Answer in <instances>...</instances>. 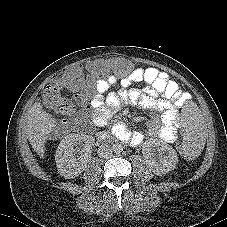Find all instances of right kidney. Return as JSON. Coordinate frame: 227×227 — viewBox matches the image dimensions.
<instances>
[{
    "label": "right kidney",
    "instance_id": "right-kidney-1",
    "mask_svg": "<svg viewBox=\"0 0 227 227\" xmlns=\"http://www.w3.org/2000/svg\"><path fill=\"white\" fill-rule=\"evenodd\" d=\"M94 139L84 134H69L58 145L55 162L58 173L67 179L79 176L91 157ZM80 146H83L80 149Z\"/></svg>",
    "mask_w": 227,
    "mask_h": 227
}]
</instances>
